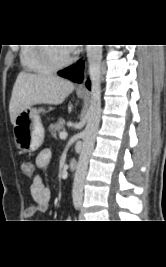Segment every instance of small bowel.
<instances>
[{"label":"small bowel","mask_w":166,"mask_h":267,"mask_svg":"<svg viewBox=\"0 0 166 267\" xmlns=\"http://www.w3.org/2000/svg\"><path fill=\"white\" fill-rule=\"evenodd\" d=\"M52 152L50 149L41 150L35 158V169H33V178L31 185V195L35 201V206L26 209L25 216L33 217L37 213H44L49 209L51 201V189L45 184L43 177L39 173L50 163Z\"/></svg>","instance_id":"obj_1"}]
</instances>
